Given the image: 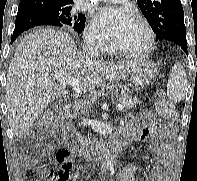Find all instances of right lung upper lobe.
Segmentation results:
<instances>
[{
	"label": "right lung upper lobe",
	"instance_id": "1",
	"mask_svg": "<svg viewBox=\"0 0 197 181\" xmlns=\"http://www.w3.org/2000/svg\"><path fill=\"white\" fill-rule=\"evenodd\" d=\"M38 4H54L60 6H70L73 0H21L20 5L35 7Z\"/></svg>",
	"mask_w": 197,
	"mask_h": 181
}]
</instances>
